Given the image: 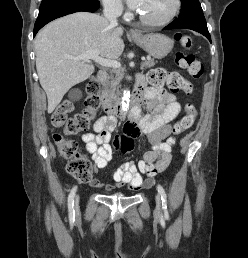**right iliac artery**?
<instances>
[{"instance_id": "1", "label": "right iliac artery", "mask_w": 248, "mask_h": 258, "mask_svg": "<svg viewBox=\"0 0 248 258\" xmlns=\"http://www.w3.org/2000/svg\"><path fill=\"white\" fill-rule=\"evenodd\" d=\"M77 187L74 186L72 190L70 191V194L68 196V209H69V217L70 219H74L75 217V210H74V197L76 193Z\"/></svg>"}]
</instances>
